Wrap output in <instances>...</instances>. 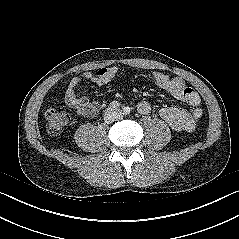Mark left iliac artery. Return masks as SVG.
<instances>
[{
	"label": "left iliac artery",
	"instance_id": "44dca946",
	"mask_svg": "<svg viewBox=\"0 0 239 239\" xmlns=\"http://www.w3.org/2000/svg\"><path fill=\"white\" fill-rule=\"evenodd\" d=\"M130 108L129 107H124L123 108V114H125V115H128V114H130Z\"/></svg>",
	"mask_w": 239,
	"mask_h": 239
}]
</instances>
